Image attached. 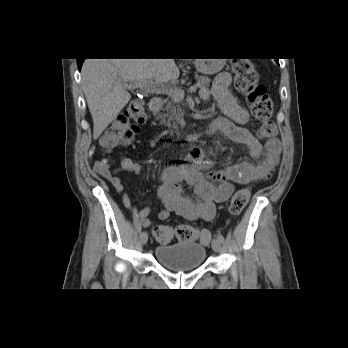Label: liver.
<instances>
[{
	"instance_id": "liver-1",
	"label": "liver",
	"mask_w": 348,
	"mask_h": 348,
	"mask_svg": "<svg viewBox=\"0 0 348 348\" xmlns=\"http://www.w3.org/2000/svg\"><path fill=\"white\" fill-rule=\"evenodd\" d=\"M81 74L96 140L130 101L125 83L175 82L180 71L174 59H86Z\"/></svg>"
}]
</instances>
